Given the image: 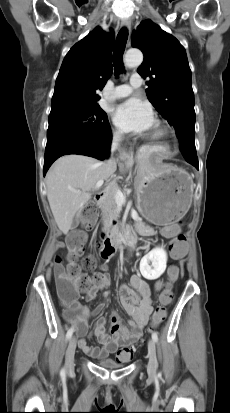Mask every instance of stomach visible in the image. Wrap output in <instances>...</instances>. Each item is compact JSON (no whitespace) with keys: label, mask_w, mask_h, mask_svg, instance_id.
I'll return each instance as SVG.
<instances>
[{"label":"stomach","mask_w":230,"mask_h":413,"mask_svg":"<svg viewBox=\"0 0 230 413\" xmlns=\"http://www.w3.org/2000/svg\"><path fill=\"white\" fill-rule=\"evenodd\" d=\"M137 208L155 225L176 222L189 210L193 181L183 169L169 164L138 163L135 177Z\"/></svg>","instance_id":"0dacf381"}]
</instances>
